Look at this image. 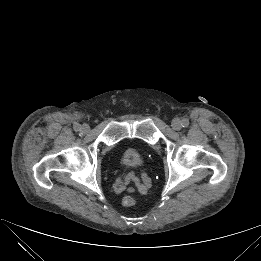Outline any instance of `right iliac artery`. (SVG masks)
I'll list each match as a JSON object with an SVG mask.
<instances>
[{"label": "right iliac artery", "instance_id": "right-iliac-artery-1", "mask_svg": "<svg viewBox=\"0 0 261 261\" xmlns=\"http://www.w3.org/2000/svg\"><path fill=\"white\" fill-rule=\"evenodd\" d=\"M74 130L75 131H80L81 130V126L79 124L74 126Z\"/></svg>", "mask_w": 261, "mask_h": 261}]
</instances>
